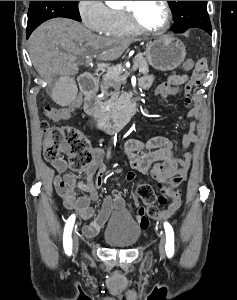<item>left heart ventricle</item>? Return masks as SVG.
<instances>
[{"mask_svg": "<svg viewBox=\"0 0 237 300\" xmlns=\"http://www.w3.org/2000/svg\"><path fill=\"white\" fill-rule=\"evenodd\" d=\"M136 11L140 23L147 28L159 29L165 23L166 11L163 1H137Z\"/></svg>", "mask_w": 237, "mask_h": 300, "instance_id": "b2bd125f", "label": "left heart ventricle"}]
</instances>
